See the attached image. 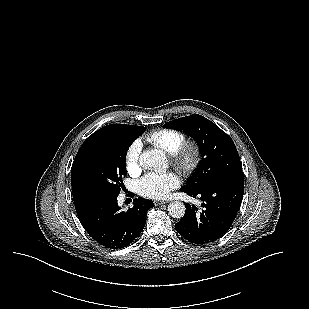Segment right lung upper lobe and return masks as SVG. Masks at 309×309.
Returning a JSON list of instances; mask_svg holds the SVG:
<instances>
[{"instance_id":"obj_1","label":"right lung upper lobe","mask_w":309,"mask_h":309,"mask_svg":"<svg viewBox=\"0 0 309 309\" xmlns=\"http://www.w3.org/2000/svg\"><path fill=\"white\" fill-rule=\"evenodd\" d=\"M120 125L121 124H111V125H107L97 130L85 140V142L80 147L78 153L76 154V157L74 159V162L72 164V169H71V184H72V193H73V199H74L75 206L90 199V197L83 190L81 177H80V164H81L84 154L86 153L87 149L89 148L91 144L113 133L115 130H117L120 127Z\"/></svg>"}]
</instances>
